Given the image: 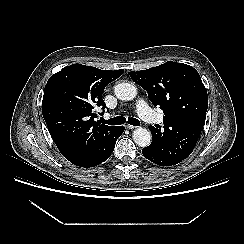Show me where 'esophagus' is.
Returning a JSON list of instances; mask_svg holds the SVG:
<instances>
[{"mask_svg": "<svg viewBox=\"0 0 244 244\" xmlns=\"http://www.w3.org/2000/svg\"><path fill=\"white\" fill-rule=\"evenodd\" d=\"M126 128L132 130V129H135L136 126L127 124V125H126Z\"/></svg>", "mask_w": 244, "mask_h": 244, "instance_id": "1", "label": "esophagus"}]
</instances>
